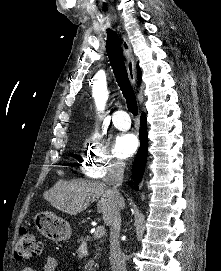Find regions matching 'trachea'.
<instances>
[{"label": "trachea", "instance_id": "1", "mask_svg": "<svg viewBox=\"0 0 221 271\" xmlns=\"http://www.w3.org/2000/svg\"><path fill=\"white\" fill-rule=\"evenodd\" d=\"M106 48L110 65L113 68L116 81L123 96L126 98L127 108L134 116L138 114L136 95L128 78L125 59L121 48V41L115 31L107 30Z\"/></svg>", "mask_w": 221, "mask_h": 271}]
</instances>
